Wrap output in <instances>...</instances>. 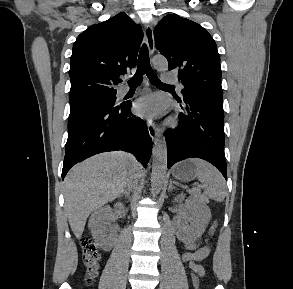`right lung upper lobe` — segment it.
Wrapping results in <instances>:
<instances>
[{
	"instance_id": "obj_1",
	"label": "right lung upper lobe",
	"mask_w": 293,
	"mask_h": 289,
	"mask_svg": "<svg viewBox=\"0 0 293 289\" xmlns=\"http://www.w3.org/2000/svg\"><path fill=\"white\" fill-rule=\"evenodd\" d=\"M143 31L126 13L90 26L73 44L70 102L116 94L120 75L136 66Z\"/></svg>"
}]
</instances>
